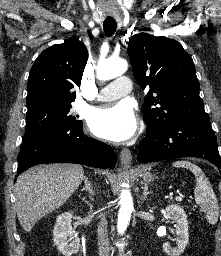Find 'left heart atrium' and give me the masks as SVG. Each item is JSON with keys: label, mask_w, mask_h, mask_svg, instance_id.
I'll use <instances>...</instances> for the list:
<instances>
[{"label": "left heart atrium", "mask_w": 221, "mask_h": 256, "mask_svg": "<svg viewBox=\"0 0 221 256\" xmlns=\"http://www.w3.org/2000/svg\"><path fill=\"white\" fill-rule=\"evenodd\" d=\"M88 124L94 135L113 142H123L135 134L138 120L130 104L119 102L94 110Z\"/></svg>", "instance_id": "1"}]
</instances>
